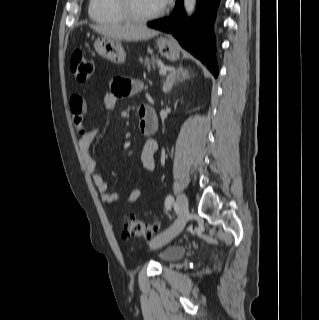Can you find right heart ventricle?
<instances>
[{"label": "right heart ventricle", "mask_w": 319, "mask_h": 320, "mask_svg": "<svg viewBox=\"0 0 319 320\" xmlns=\"http://www.w3.org/2000/svg\"><path fill=\"white\" fill-rule=\"evenodd\" d=\"M88 14L93 21L105 25H119L129 21L121 13L117 0H90Z\"/></svg>", "instance_id": "obj_1"}]
</instances>
